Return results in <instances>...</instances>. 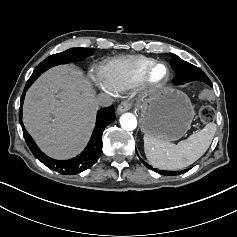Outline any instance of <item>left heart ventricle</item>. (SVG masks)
<instances>
[{"label":"left heart ventricle","mask_w":237,"mask_h":237,"mask_svg":"<svg viewBox=\"0 0 237 237\" xmlns=\"http://www.w3.org/2000/svg\"><path fill=\"white\" fill-rule=\"evenodd\" d=\"M165 76V68L163 66H157L152 72V78L154 80H160Z\"/></svg>","instance_id":"obj_1"}]
</instances>
